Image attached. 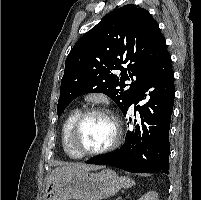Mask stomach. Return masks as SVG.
I'll return each mask as SVG.
<instances>
[{
  "mask_svg": "<svg viewBox=\"0 0 201 200\" xmlns=\"http://www.w3.org/2000/svg\"><path fill=\"white\" fill-rule=\"evenodd\" d=\"M120 186V178L111 169L78 172L47 185L43 200H102L115 195Z\"/></svg>",
  "mask_w": 201,
  "mask_h": 200,
  "instance_id": "obj_1",
  "label": "stomach"
}]
</instances>
